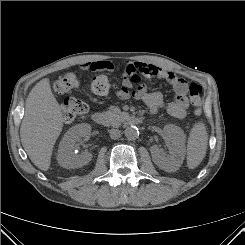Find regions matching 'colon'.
<instances>
[{
    "mask_svg": "<svg viewBox=\"0 0 245 245\" xmlns=\"http://www.w3.org/2000/svg\"><path fill=\"white\" fill-rule=\"evenodd\" d=\"M77 86V76L72 72L62 74L55 82V91L60 95L67 96L62 104V115L66 123H71L88 112V105L84 100L70 97ZM113 86L111 78L107 75L95 76L89 83L91 92L96 95H106ZM201 93L202 87L198 83L190 84L189 98L196 116L201 114Z\"/></svg>",
    "mask_w": 245,
    "mask_h": 245,
    "instance_id": "obj_1",
    "label": "colon"
}]
</instances>
